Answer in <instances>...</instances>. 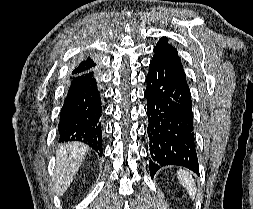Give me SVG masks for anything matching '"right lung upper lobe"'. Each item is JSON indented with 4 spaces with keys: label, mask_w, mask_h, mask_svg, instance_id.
<instances>
[{
    "label": "right lung upper lobe",
    "mask_w": 253,
    "mask_h": 209,
    "mask_svg": "<svg viewBox=\"0 0 253 209\" xmlns=\"http://www.w3.org/2000/svg\"><path fill=\"white\" fill-rule=\"evenodd\" d=\"M96 62L94 59L88 55L85 56L77 65V67L72 71V75H80L89 71H92L96 68Z\"/></svg>",
    "instance_id": "1"
}]
</instances>
